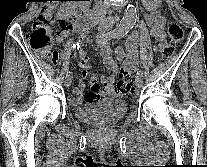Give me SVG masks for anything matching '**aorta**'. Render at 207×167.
Returning a JSON list of instances; mask_svg holds the SVG:
<instances>
[{
	"label": "aorta",
	"mask_w": 207,
	"mask_h": 167,
	"mask_svg": "<svg viewBox=\"0 0 207 167\" xmlns=\"http://www.w3.org/2000/svg\"><path fill=\"white\" fill-rule=\"evenodd\" d=\"M136 17H137L136 11L134 10L132 6H129L116 32L120 34H124L127 31H129L131 28H133L136 22Z\"/></svg>",
	"instance_id": "762f6f07"
}]
</instances>
